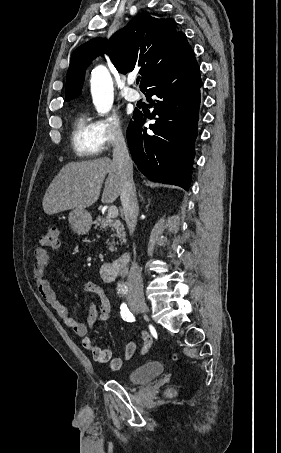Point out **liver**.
<instances>
[{"label": "liver", "instance_id": "liver-1", "mask_svg": "<svg viewBox=\"0 0 281 453\" xmlns=\"http://www.w3.org/2000/svg\"><path fill=\"white\" fill-rule=\"evenodd\" d=\"M105 176H107L105 180ZM102 202H113L121 194L118 164L108 156L82 162H68L53 178L43 196V210L56 214L69 208H87L100 196Z\"/></svg>", "mask_w": 281, "mask_h": 453}]
</instances>
